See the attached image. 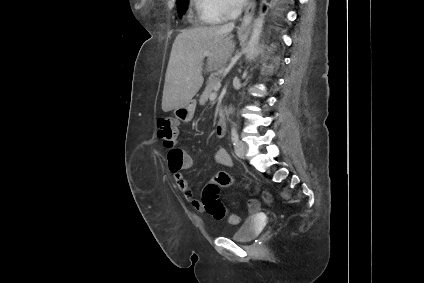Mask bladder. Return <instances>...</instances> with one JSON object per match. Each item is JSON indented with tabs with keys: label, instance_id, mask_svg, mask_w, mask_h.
<instances>
[{
	"label": "bladder",
	"instance_id": "31cf9c89",
	"mask_svg": "<svg viewBox=\"0 0 424 283\" xmlns=\"http://www.w3.org/2000/svg\"><path fill=\"white\" fill-rule=\"evenodd\" d=\"M262 223L256 217L247 218L242 225L230 236L236 242H250L260 233Z\"/></svg>",
	"mask_w": 424,
	"mask_h": 283
}]
</instances>
